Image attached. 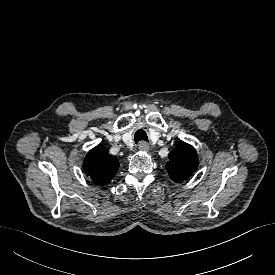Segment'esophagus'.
<instances>
[{"label":"esophagus","mask_w":275,"mask_h":275,"mask_svg":"<svg viewBox=\"0 0 275 275\" xmlns=\"http://www.w3.org/2000/svg\"><path fill=\"white\" fill-rule=\"evenodd\" d=\"M138 148H139V150L144 151V152H147L150 149L148 143H146L144 141L139 143Z\"/></svg>","instance_id":"34e87169"}]
</instances>
